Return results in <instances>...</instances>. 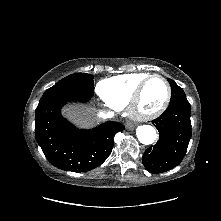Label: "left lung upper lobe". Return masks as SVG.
<instances>
[{"label": "left lung upper lobe", "mask_w": 221, "mask_h": 221, "mask_svg": "<svg viewBox=\"0 0 221 221\" xmlns=\"http://www.w3.org/2000/svg\"><path fill=\"white\" fill-rule=\"evenodd\" d=\"M168 81L171 85V100L170 102L185 100L186 95L181 87H179L172 79L168 78Z\"/></svg>", "instance_id": "left-lung-upper-lobe-1"}]
</instances>
